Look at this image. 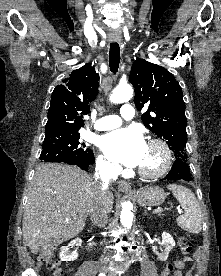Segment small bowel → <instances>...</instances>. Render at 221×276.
<instances>
[{
  "instance_id": "small-bowel-1",
  "label": "small bowel",
  "mask_w": 221,
  "mask_h": 276,
  "mask_svg": "<svg viewBox=\"0 0 221 276\" xmlns=\"http://www.w3.org/2000/svg\"><path fill=\"white\" fill-rule=\"evenodd\" d=\"M179 260H175L174 262H177ZM186 261H189V258L187 256H185L183 259H182V262H183V266L185 264ZM182 267H178L174 270V272L172 273V276H183L182 272H181V269L183 268Z\"/></svg>"
}]
</instances>
